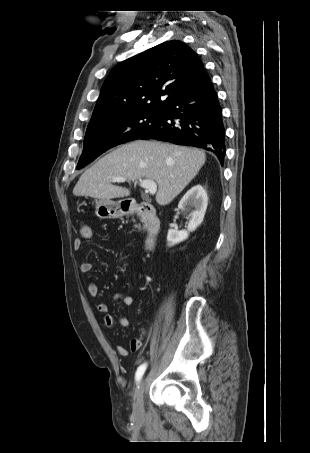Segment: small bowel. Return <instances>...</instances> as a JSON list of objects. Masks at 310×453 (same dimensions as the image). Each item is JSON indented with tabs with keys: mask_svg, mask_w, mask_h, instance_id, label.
<instances>
[{
	"mask_svg": "<svg viewBox=\"0 0 310 453\" xmlns=\"http://www.w3.org/2000/svg\"><path fill=\"white\" fill-rule=\"evenodd\" d=\"M89 238H91V235L89 237L76 238L73 242L74 249L80 250L83 245V239H89ZM92 267H93V265L90 261H87V260L83 261L80 264V272L82 274L86 275L91 272ZM87 291L91 297H97L99 294L98 286L94 282L87 283ZM112 299L115 302H119L125 306H130L133 304L132 296L123 294L120 292L114 293L112 296ZM96 308H97L98 312L103 314L104 326L109 329H112L116 324V320H115L114 316L110 313L108 305L105 302L100 301L97 303ZM117 323L123 328H127L130 326V320L126 317H119L117 320ZM143 336H144V332H142L139 336L132 338V340L130 342V348H131L132 352H137L138 350L141 349V347L143 345ZM116 352L119 356H122V357L128 355L127 349L122 345L116 346Z\"/></svg>",
	"mask_w": 310,
	"mask_h": 453,
	"instance_id": "small-bowel-1",
	"label": "small bowel"
}]
</instances>
